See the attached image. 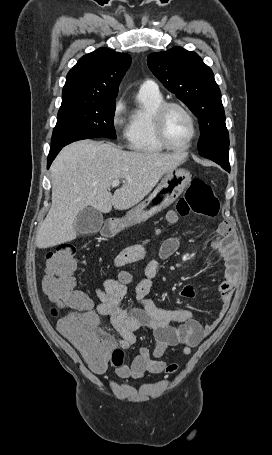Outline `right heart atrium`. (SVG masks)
<instances>
[{
	"mask_svg": "<svg viewBox=\"0 0 272 455\" xmlns=\"http://www.w3.org/2000/svg\"><path fill=\"white\" fill-rule=\"evenodd\" d=\"M125 111V104L122 100H118L113 108V113H112V124L115 128H120L123 126L124 121H123V113Z\"/></svg>",
	"mask_w": 272,
	"mask_h": 455,
	"instance_id": "1",
	"label": "right heart atrium"
}]
</instances>
